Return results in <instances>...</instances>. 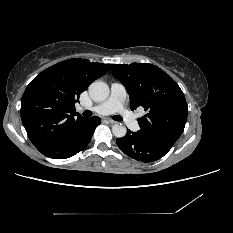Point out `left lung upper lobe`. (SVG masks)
Wrapping results in <instances>:
<instances>
[{
    "instance_id": "5c2ea615",
    "label": "left lung upper lobe",
    "mask_w": 233,
    "mask_h": 233,
    "mask_svg": "<svg viewBox=\"0 0 233 233\" xmlns=\"http://www.w3.org/2000/svg\"><path fill=\"white\" fill-rule=\"evenodd\" d=\"M110 71L125 86L131 110L142 106L139 135L173 145L183 133L188 107L178 84L159 67L148 63L111 64Z\"/></svg>"
}]
</instances>
